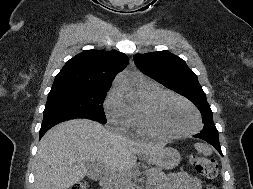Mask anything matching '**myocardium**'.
I'll use <instances>...</instances> for the list:
<instances>
[{
    "mask_svg": "<svg viewBox=\"0 0 253 189\" xmlns=\"http://www.w3.org/2000/svg\"><path fill=\"white\" fill-rule=\"evenodd\" d=\"M167 97H171L176 100H179V101L185 103L187 106H189L193 110V112L196 115V120H197V124H196L195 128H193L189 131L176 133V132L167 131L158 124L156 117H155L156 109H157L158 105L160 104V102L164 98H167ZM142 126H143L144 131L151 136H155V137H159V138H166V139H176V138L187 137V136L197 133L202 127V119H201V115H200L199 110L189 100H187L186 98H184L176 93L165 91V92H162V93L158 94L157 96H155L145 106L144 111H143V115H142Z\"/></svg>",
    "mask_w": 253,
    "mask_h": 189,
    "instance_id": "f54148a6",
    "label": "myocardium"
}]
</instances>
